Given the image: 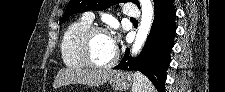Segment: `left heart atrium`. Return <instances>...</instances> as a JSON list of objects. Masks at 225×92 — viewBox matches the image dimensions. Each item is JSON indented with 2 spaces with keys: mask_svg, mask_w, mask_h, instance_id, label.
<instances>
[{
  "mask_svg": "<svg viewBox=\"0 0 225 92\" xmlns=\"http://www.w3.org/2000/svg\"><path fill=\"white\" fill-rule=\"evenodd\" d=\"M118 32L117 31H114L113 34L111 35V40H112V43L115 47V49L117 48V44H118Z\"/></svg>",
  "mask_w": 225,
  "mask_h": 92,
  "instance_id": "obj_1",
  "label": "left heart atrium"
}]
</instances>
